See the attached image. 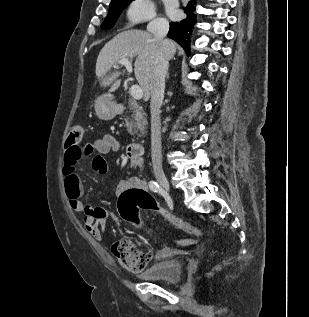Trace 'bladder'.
Listing matches in <instances>:
<instances>
[{
	"instance_id": "1",
	"label": "bladder",
	"mask_w": 309,
	"mask_h": 317,
	"mask_svg": "<svg viewBox=\"0 0 309 317\" xmlns=\"http://www.w3.org/2000/svg\"><path fill=\"white\" fill-rule=\"evenodd\" d=\"M182 274V262L177 258H168L154 262L141 273L140 278L145 281L177 283L181 280Z\"/></svg>"
}]
</instances>
